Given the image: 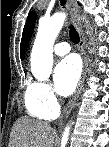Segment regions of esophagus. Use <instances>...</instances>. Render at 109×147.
Listing matches in <instances>:
<instances>
[{
  "label": "esophagus",
  "mask_w": 109,
  "mask_h": 147,
  "mask_svg": "<svg viewBox=\"0 0 109 147\" xmlns=\"http://www.w3.org/2000/svg\"><path fill=\"white\" fill-rule=\"evenodd\" d=\"M67 4H68V9H69L70 13L72 14L73 24H74V26L80 36L79 52H80V54L83 58V61H84V71H83L82 77L80 79V82L77 86V89H76L74 95L69 100L66 107L64 108L63 113H62L60 119L58 120V122L56 123V125H62L64 120H66L67 117L69 116V114L71 113V110L75 104V101L78 98V96L81 92L82 86L84 84L85 76H86V68H87V59H86V54H85V36H84L83 30H82L81 24L77 18L78 6H77V3L75 0H68Z\"/></svg>",
  "instance_id": "obj_1"
}]
</instances>
